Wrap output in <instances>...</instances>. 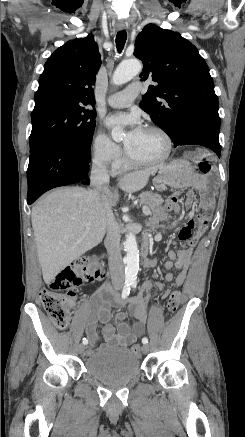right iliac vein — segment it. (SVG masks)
<instances>
[{"label": "right iliac vein", "instance_id": "1", "mask_svg": "<svg viewBox=\"0 0 245 437\" xmlns=\"http://www.w3.org/2000/svg\"><path fill=\"white\" fill-rule=\"evenodd\" d=\"M84 350H85V346L82 345V344H80V345L78 346V351H79V353H83Z\"/></svg>", "mask_w": 245, "mask_h": 437}]
</instances>
